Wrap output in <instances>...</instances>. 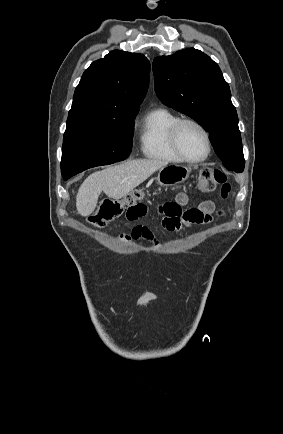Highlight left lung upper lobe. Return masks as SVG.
<instances>
[{"mask_svg": "<svg viewBox=\"0 0 283 434\" xmlns=\"http://www.w3.org/2000/svg\"><path fill=\"white\" fill-rule=\"evenodd\" d=\"M155 92L161 102L199 122L224 166L242 172L245 160L238 117L228 83L216 62L187 48L153 61Z\"/></svg>", "mask_w": 283, "mask_h": 434, "instance_id": "left-lung-upper-lobe-1", "label": "left lung upper lobe"}]
</instances>
